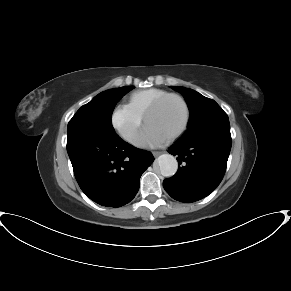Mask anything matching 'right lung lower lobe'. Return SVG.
<instances>
[{
    "label": "right lung lower lobe",
    "instance_id": "obj_1",
    "mask_svg": "<svg viewBox=\"0 0 291 291\" xmlns=\"http://www.w3.org/2000/svg\"><path fill=\"white\" fill-rule=\"evenodd\" d=\"M67 152L81 190L96 203L113 208L135 197L141 175L154 161L150 152L115 133L68 132Z\"/></svg>",
    "mask_w": 291,
    "mask_h": 291
}]
</instances>
